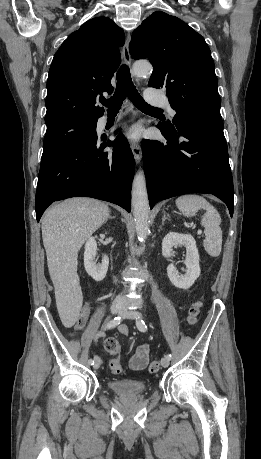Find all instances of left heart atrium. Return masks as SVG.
Here are the masks:
<instances>
[{"instance_id": "obj_1", "label": "left heart atrium", "mask_w": 261, "mask_h": 459, "mask_svg": "<svg viewBox=\"0 0 261 459\" xmlns=\"http://www.w3.org/2000/svg\"><path fill=\"white\" fill-rule=\"evenodd\" d=\"M126 136L129 139H137L139 137V132L135 129H131L126 133Z\"/></svg>"}]
</instances>
